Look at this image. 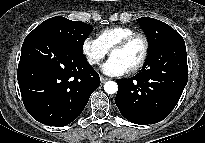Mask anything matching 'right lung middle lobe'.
I'll return each instance as SVG.
<instances>
[{"mask_svg": "<svg viewBox=\"0 0 205 143\" xmlns=\"http://www.w3.org/2000/svg\"><path fill=\"white\" fill-rule=\"evenodd\" d=\"M93 30L92 26L80 21H71L65 17L57 16L45 20L32 32L53 36L73 49L83 52L85 39Z\"/></svg>", "mask_w": 205, "mask_h": 143, "instance_id": "obj_1", "label": "right lung middle lobe"}]
</instances>
